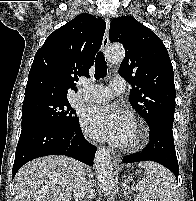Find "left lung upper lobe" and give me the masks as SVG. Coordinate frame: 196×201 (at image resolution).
Masks as SVG:
<instances>
[{
	"label": "left lung upper lobe",
	"mask_w": 196,
	"mask_h": 201,
	"mask_svg": "<svg viewBox=\"0 0 196 201\" xmlns=\"http://www.w3.org/2000/svg\"><path fill=\"white\" fill-rule=\"evenodd\" d=\"M109 39L120 42L125 58L119 75L132 86L131 106L151 127L173 124L175 85L172 63L160 38L133 17L112 20Z\"/></svg>",
	"instance_id": "1"
}]
</instances>
